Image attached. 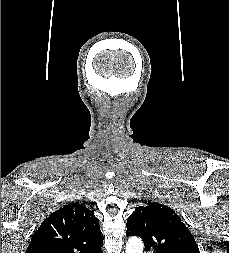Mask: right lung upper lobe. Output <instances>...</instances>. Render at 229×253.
Segmentation results:
<instances>
[{
	"mask_svg": "<svg viewBox=\"0 0 229 253\" xmlns=\"http://www.w3.org/2000/svg\"><path fill=\"white\" fill-rule=\"evenodd\" d=\"M99 221L82 204L69 203L46 218L25 253H100Z\"/></svg>",
	"mask_w": 229,
	"mask_h": 253,
	"instance_id": "right-lung-upper-lobe-1",
	"label": "right lung upper lobe"
}]
</instances>
